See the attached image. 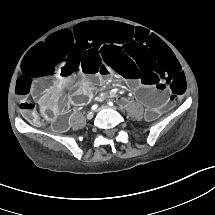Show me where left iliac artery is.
I'll return each mask as SVG.
<instances>
[{
	"instance_id": "44dca946",
	"label": "left iliac artery",
	"mask_w": 215,
	"mask_h": 215,
	"mask_svg": "<svg viewBox=\"0 0 215 215\" xmlns=\"http://www.w3.org/2000/svg\"><path fill=\"white\" fill-rule=\"evenodd\" d=\"M108 104H109L110 106H113V103H112V102H109Z\"/></svg>"
}]
</instances>
